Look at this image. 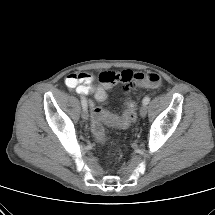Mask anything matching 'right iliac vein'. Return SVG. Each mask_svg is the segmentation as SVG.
Listing matches in <instances>:
<instances>
[{"mask_svg": "<svg viewBox=\"0 0 215 215\" xmlns=\"http://www.w3.org/2000/svg\"><path fill=\"white\" fill-rule=\"evenodd\" d=\"M82 118L83 120H88V111H87V108H83L82 110Z\"/></svg>", "mask_w": 215, "mask_h": 215, "instance_id": "right-iliac-vein-1", "label": "right iliac vein"}]
</instances>
